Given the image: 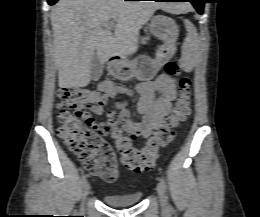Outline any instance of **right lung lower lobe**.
Returning <instances> with one entry per match:
<instances>
[{
  "label": "right lung lower lobe",
  "mask_w": 260,
  "mask_h": 217,
  "mask_svg": "<svg viewBox=\"0 0 260 217\" xmlns=\"http://www.w3.org/2000/svg\"><path fill=\"white\" fill-rule=\"evenodd\" d=\"M57 1H58V0H48V4H49V5H53V4H55ZM126 1H128V0H126Z\"/></svg>",
  "instance_id": "right-lung-lower-lobe-1"
}]
</instances>
